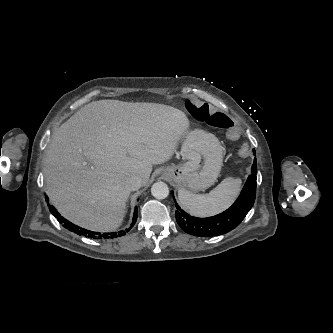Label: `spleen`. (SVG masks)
<instances>
[{
  "label": "spleen",
  "instance_id": "spleen-1",
  "mask_svg": "<svg viewBox=\"0 0 333 333\" xmlns=\"http://www.w3.org/2000/svg\"><path fill=\"white\" fill-rule=\"evenodd\" d=\"M241 179L228 177L208 194L197 195L180 189L178 198L190 214L200 217L212 216L227 209L236 199Z\"/></svg>",
  "mask_w": 333,
  "mask_h": 333
}]
</instances>
